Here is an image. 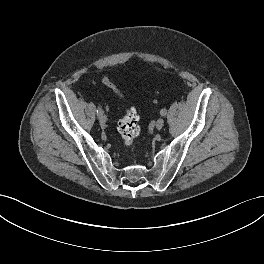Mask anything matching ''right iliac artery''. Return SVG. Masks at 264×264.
<instances>
[{
    "instance_id": "obj_1",
    "label": "right iliac artery",
    "mask_w": 264,
    "mask_h": 264,
    "mask_svg": "<svg viewBox=\"0 0 264 264\" xmlns=\"http://www.w3.org/2000/svg\"><path fill=\"white\" fill-rule=\"evenodd\" d=\"M97 115H98V117L103 115V110H102L101 106H98V108H97Z\"/></svg>"
}]
</instances>
